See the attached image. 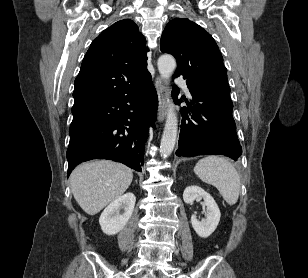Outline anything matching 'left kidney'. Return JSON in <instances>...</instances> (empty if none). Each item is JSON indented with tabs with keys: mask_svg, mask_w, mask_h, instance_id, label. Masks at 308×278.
<instances>
[{
	"mask_svg": "<svg viewBox=\"0 0 308 278\" xmlns=\"http://www.w3.org/2000/svg\"><path fill=\"white\" fill-rule=\"evenodd\" d=\"M203 198L206 206V219L198 221L196 215L191 216V224L195 232L202 238L209 237L217 228L220 221V210L213 197L198 186H190L184 190L183 200L192 204L196 199Z\"/></svg>",
	"mask_w": 308,
	"mask_h": 278,
	"instance_id": "obj_1",
	"label": "left kidney"
}]
</instances>
